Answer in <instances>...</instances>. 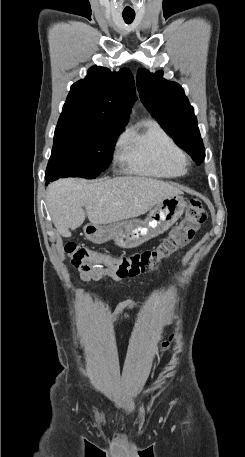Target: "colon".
I'll use <instances>...</instances> for the list:
<instances>
[{"label": "colon", "mask_w": 245, "mask_h": 457, "mask_svg": "<svg viewBox=\"0 0 245 457\" xmlns=\"http://www.w3.org/2000/svg\"><path fill=\"white\" fill-rule=\"evenodd\" d=\"M206 210L199 198H193L187 205L182 221L174 226L167 238L156 248L128 256L112 257L94 252L86 245L69 242L64 247L66 257L78 269L108 268L120 278L135 277L152 271L160 261L179 250L198 227L206 220ZM173 339L172 334L161 338L160 347L166 349Z\"/></svg>", "instance_id": "colon-1"}]
</instances>
